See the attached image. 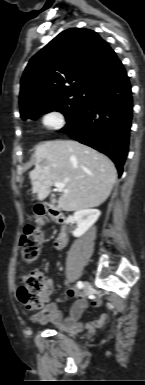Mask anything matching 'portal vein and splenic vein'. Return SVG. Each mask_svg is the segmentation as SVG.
I'll return each instance as SVG.
<instances>
[{"label":"portal vein and splenic vein","mask_w":145,"mask_h":385,"mask_svg":"<svg viewBox=\"0 0 145 385\" xmlns=\"http://www.w3.org/2000/svg\"><path fill=\"white\" fill-rule=\"evenodd\" d=\"M54 186L56 187L57 191L68 193L69 191L65 189V183L63 182H54Z\"/></svg>","instance_id":"1"}]
</instances>
